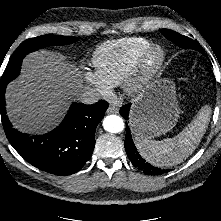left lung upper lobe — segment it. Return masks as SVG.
<instances>
[{
	"instance_id": "obj_1",
	"label": "left lung upper lobe",
	"mask_w": 221,
	"mask_h": 221,
	"mask_svg": "<svg viewBox=\"0 0 221 221\" xmlns=\"http://www.w3.org/2000/svg\"><path fill=\"white\" fill-rule=\"evenodd\" d=\"M161 33L170 41L184 49H194L204 54L201 46L189 37L183 36L173 30L160 29Z\"/></svg>"
}]
</instances>
